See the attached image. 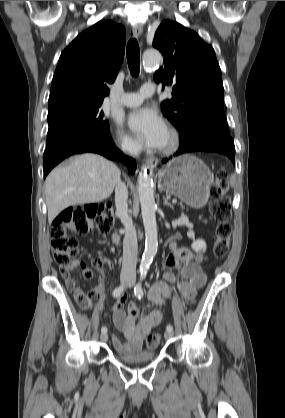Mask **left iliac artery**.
Here are the masks:
<instances>
[{
  "label": "left iliac artery",
  "instance_id": "44dca946",
  "mask_svg": "<svg viewBox=\"0 0 285 418\" xmlns=\"http://www.w3.org/2000/svg\"><path fill=\"white\" fill-rule=\"evenodd\" d=\"M147 271H148V269L141 270L140 280H139L138 284L136 285V287L134 288L135 296L138 297L139 299H141V297L143 296L142 282L146 278ZM166 330L167 331H172L173 330L172 325H170V324L167 325Z\"/></svg>",
  "mask_w": 285,
  "mask_h": 418
}]
</instances>
